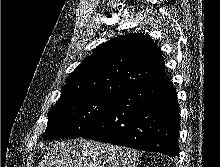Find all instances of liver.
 I'll use <instances>...</instances> for the list:
<instances>
[{
  "label": "liver",
  "mask_w": 220,
  "mask_h": 167,
  "mask_svg": "<svg viewBox=\"0 0 220 167\" xmlns=\"http://www.w3.org/2000/svg\"><path fill=\"white\" fill-rule=\"evenodd\" d=\"M141 153L82 138L56 142L40 167H136Z\"/></svg>",
  "instance_id": "6515ba94"
}]
</instances>
